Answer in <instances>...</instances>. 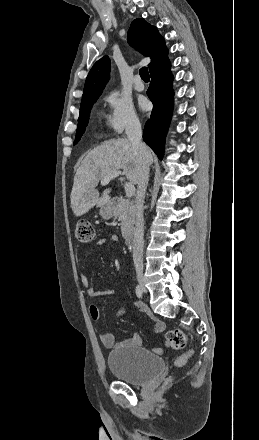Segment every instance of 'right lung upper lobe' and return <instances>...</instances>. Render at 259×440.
Listing matches in <instances>:
<instances>
[{
	"label": "right lung upper lobe",
	"mask_w": 259,
	"mask_h": 440,
	"mask_svg": "<svg viewBox=\"0 0 259 440\" xmlns=\"http://www.w3.org/2000/svg\"><path fill=\"white\" fill-rule=\"evenodd\" d=\"M128 42L145 56L151 58L149 70L154 69L167 58L168 49L164 38L157 28L148 24L144 19L132 21L128 31ZM110 74V59L102 57L91 68L84 86L82 102L98 99L104 89Z\"/></svg>",
	"instance_id": "right-lung-upper-lobe-1"
}]
</instances>
